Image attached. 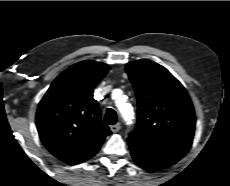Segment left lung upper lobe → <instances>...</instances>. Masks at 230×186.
I'll return each mask as SVG.
<instances>
[{
  "mask_svg": "<svg viewBox=\"0 0 230 186\" xmlns=\"http://www.w3.org/2000/svg\"><path fill=\"white\" fill-rule=\"evenodd\" d=\"M138 99V121L127 139L144 154L182 158L195 131L192 102L181 83L163 66L142 59L125 67Z\"/></svg>",
  "mask_w": 230,
  "mask_h": 186,
  "instance_id": "left-lung-upper-lobe-1",
  "label": "left lung upper lobe"
}]
</instances>
